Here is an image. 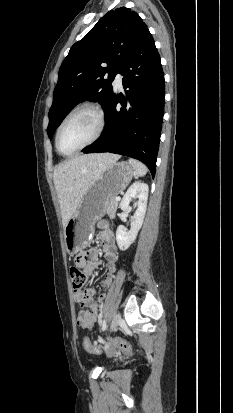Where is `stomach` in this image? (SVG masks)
<instances>
[{"label": "stomach", "instance_id": "obj_1", "mask_svg": "<svg viewBox=\"0 0 233 413\" xmlns=\"http://www.w3.org/2000/svg\"><path fill=\"white\" fill-rule=\"evenodd\" d=\"M133 174L132 165L125 161L115 162L100 173L64 227L66 249L70 255L88 246L94 225L106 213L109 200L128 186Z\"/></svg>", "mask_w": 233, "mask_h": 413}]
</instances>
